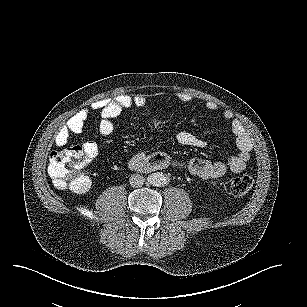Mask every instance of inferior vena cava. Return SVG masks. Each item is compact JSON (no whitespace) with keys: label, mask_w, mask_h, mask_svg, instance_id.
Masks as SVG:
<instances>
[{"label":"inferior vena cava","mask_w":307,"mask_h":307,"mask_svg":"<svg viewBox=\"0 0 307 307\" xmlns=\"http://www.w3.org/2000/svg\"><path fill=\"white\" fill-rule=\"evenodd\" d=\"M144 182H145L144 176L138 173L131 174L129 177V184L133 188H139L143 186Z\"/></svg>","instance_id":"obj_1"}]
</instances>
